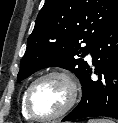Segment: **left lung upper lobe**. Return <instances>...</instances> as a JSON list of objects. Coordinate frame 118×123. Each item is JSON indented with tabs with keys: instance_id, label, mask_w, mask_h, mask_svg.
Returning a JSON list of instances; mask_svg holds the SVG:
<instances>
[{
	"instance_id": "5c2ea615",
	"label": "left lung upper lobe",
	"mask_w": 118,
	"mask_h": 123,
	"mask_svg": "<svg viewBox=\"0 0 118 123\" xmlns=\"http://www.w3.org/2000/svg\"><path fill=\"white\" fill-rule=\"evenodd\" d=\"M117 18L118 0H46L27 40L17 80L59 66L82 82L89 68L83 58Z\"/></svg>"
}]
</instances>
